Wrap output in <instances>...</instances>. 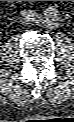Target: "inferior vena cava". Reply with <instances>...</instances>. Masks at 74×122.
<instances>
[{"instance_id":"inferior-vena-cava-1","label":"inferior vena cava","mask_w":74,"mask_h":122,"mask_svg":"<svg viewBox=\"0 0 74 122\" xmlns=\"http://www.w3.org/2000/svg\"><path fill=\"white\" fill-rule=\"evenodd\" d=\"M33 15L31 10H23L20 13V19L22 23H27L30 21V17Z\"/></svg>"}]
</instances>
